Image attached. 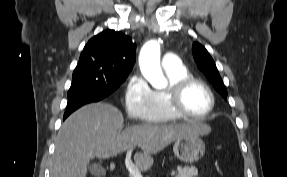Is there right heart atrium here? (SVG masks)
<instances>
[{
    "label": "right heart atrium",
    "instance_id": "obj_1",
    "mask_svg": "<svg viewBox=\"0 0 287 177\" xmlns=\"http://www.w3.org/2000/svg\"><path fill=\"white\" fill-rule=\"evenodd\" d=\"M151 96L152 90L143 77L133 75L128 80L123 100L125 109L134 122L148 120L151 112Z\"/></svg>",
    "mask_w": 287,
    "mask_h": 177
}]
</instances>
